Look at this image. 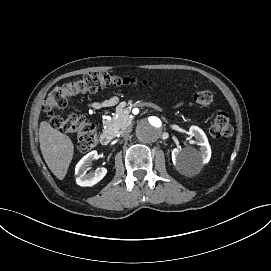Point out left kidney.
Wrapping results in <instances>:
<instances>
[{
	"mask_svg": "<svg viewBox=\"0 0 271 271\" xmlns=\"http://www.w3.org/2000/svg\"><path fill=\"white\" fill-rule=\"evenodd\" d=\"M190 135H195L198 144L201 146L200 152L194 149L187 153L178 148L172 150V162L177 170L185 175L192 174L202 164H206L211 158V147L208 139L202 129L198 126H191L189 129Z\"/></svg>",
	"mask_w": 271,
	"mask_h": 271,
	"instance_id": "5707ae66",
	"label": "left kidney"
}]
</instances>
